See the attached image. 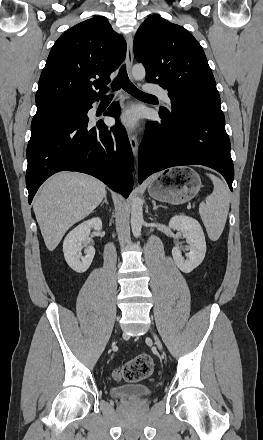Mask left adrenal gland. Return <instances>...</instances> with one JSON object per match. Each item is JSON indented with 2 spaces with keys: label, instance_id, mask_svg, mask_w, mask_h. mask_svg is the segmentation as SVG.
<instances>
[{
  "label": "left adrenal gland",
  "instance_id": "a2214340",
  "mask_svg": "<svg viewBox=\"0 0 263 440\" xmlns=\"http://www.w3.org/2000/svg\"><path fill=\"white\" fill-rule=\"evenodd\" d=\"M152 204H153V210H156V209L159 208V207L166 209L165 206H162V205H156V202H155L154 200H152Z\"/></svg>",
  "mask_w": 263,
  "mask_h": 440
}]
</instances>
